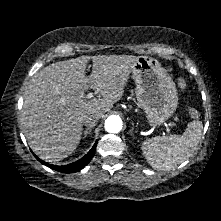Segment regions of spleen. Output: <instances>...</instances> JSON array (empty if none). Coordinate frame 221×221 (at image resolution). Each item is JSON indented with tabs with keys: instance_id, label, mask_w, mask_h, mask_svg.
Masks as SVG:
<instances>
[{
	"instance_id": "1",
	"label": "spleen",
	"mask_w": 221,
	"mask_h": 221,
	"mask_svg": "<svg viewBox=\"0 0 221 221\" xmlns=\"http://www.w3.org/2000/svg\"><path fill=\"white\" fill-rule=\"evenodd\" d=\"M203 124L194 120L188 124L183 135L154 137L142 144V152L154 169L168 171L184 162L199 144Z\"/></svg>"
}]
</instances>
